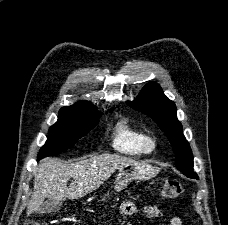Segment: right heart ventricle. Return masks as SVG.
Returning a JSON list of instances; mask_svg holds the SVG:
<instances>
[{"instance_id":"obj_1","label":"right heart ventricle","mask_w":228,"mask_h":225,"mask_svg":"<svg viewBox=\"0 0 228 225\" xmlns=\"http://www.w3.org/2000/svg\"><path fill=\"white\" fill-rule=\"evenodd\" d=\"M149 138L148 132L132 126L127 120H122L114 130L111 147L120 154L142 156L152 151Z\"/></svg>"}]
</instances>
